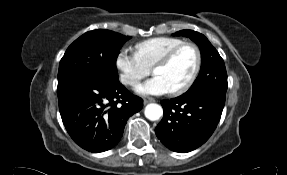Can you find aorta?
<instances>
[{
	"label": "aorta",
	"instance_id": "obj_1",
	"mask_svg": "<svg viewBox=\"0 0 287 175\" xmlns=\"http://www.w3.org/2000/svg\"><path fill=\"white\" fill-rule=\"evenodd\" d=\"M144 114L147 119L156 121L163 115V109L160 105L151 103L145 107Z\"/></svg>",
	"mask_w": 287,
	"mask_h": 175
}]
</instances>
